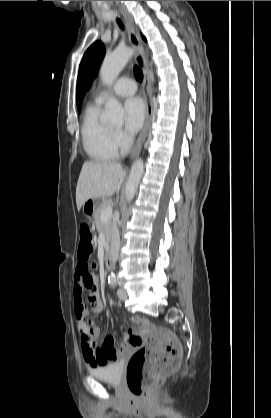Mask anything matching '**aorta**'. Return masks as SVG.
Segmentation results:
<instances>
[{
  "instance_id": "1",
  "label": "aorta",
  "mask_w": 271,
  "mask_h": 418,
  "mask_svg": "<svg viewBox=\"0 0 271 418\" xmlns=\"http://www.w3.org/2000/svg\"><path fill=\"white\" fill-rule=\"evenodd\" d=\"M132 49L119 48L108 54L101 65L100 75L101 79L106 84H111L120 74L122 69L126 66ZM103 120L113 125H122L124 120V110L121 104L115 98H109L105 106ZM144 172V162L142 159H137L131 167V171L126 182V200L130 203L139 186L140 180ZM111 279H115V275L111 274Z\"/></svg>"
}]
</instances>
